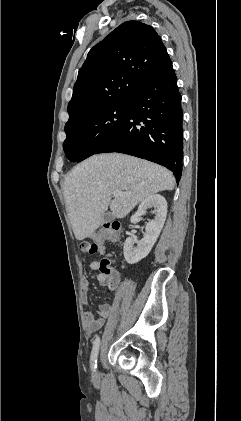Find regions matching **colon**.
Returning a JSON list of instances; mask_svg holds the SVG:
<instances>
[{
    "label": "colon",
    "mask_w": 241,
    "mask_h": 421,
    "mask_svg": "<svg viewBox=\"0 0 241 421\" xmlns=\"http://www.w3.org/2000/svg\"><path fill=\"white\" fill-rule=\"evenodd\" d=\"M93 242H83L81 244L82 251L88 254L97 253L98 246L106 241L118 242L120 239V225L118 223H105L93 235ZM112 261L104 258L100 263V272L110 277L112 276Z\"/></svg>",
    "instance_id": "1"
}]
</instances>
